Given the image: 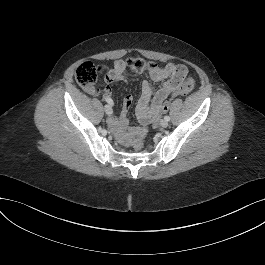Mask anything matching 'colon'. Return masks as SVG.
Instances as JSON below:
<instances>
[{
  "label": "colon",
  "mask_w": 265,
  "mask_h": 265,
  "mask_svg": "<svg viewBox=\"0 0 265 265\" xmlns=\"http://www.w3.org/2000/svg\"><path fill=\"white\" fill-rule=\"evenodd\" d=\"M127 66L130 71L135 73H141L146 70H152L155 68L153 62L146 61L141 58H131L127 62ZM99 72L98 66L94 65L92 62H83L79 64L75 71V78L77 83L85 90H91L94 88V85L97 80V75ZM196 82L195 79L191 76L186 77L179 84V86L173 91L172 97L178 95H185L192 91L195 88ZM170 106V100H166L159 107V113L166 112ZM133 146L136 151H141L145 147V138L143 135L138 136L134 142Z\"/></svg>",
  "instance_id": "obj_1"
}]
</instances>
